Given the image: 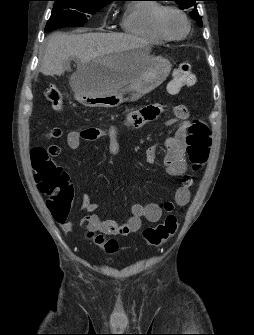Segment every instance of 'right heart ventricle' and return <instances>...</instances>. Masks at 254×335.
Returning a JSON list of instances; mask_svg holds the SVG:
<instances>
[{
	"label": "right heart ventricle",
	"instance_id": "obj_1",
	"mask_svg": "<svg viewBox=\"0 0 254 335\" xmlns=\"http://www.w3.org/2000/svg\"><path fill=\"white\" fill-rule=\"evenodd\" d=\"M161 4L144 1L127 5L121 19L123 31L145 41L162 43L165 41L154 28V16Z\"/></svg>",
	"mask_w": 254,
	"mask_h": 335
}]
</instances>
